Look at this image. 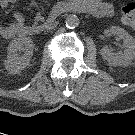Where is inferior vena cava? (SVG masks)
<instances>
[{"label":"inferior vena cava","instance_id":"obj_1","mask_svg":"<svg viewBox=\"0 0 135 135\" xmlns=\"http://www.w3.org/2000/svg\"><path fill=\"white\" fill-rule=\"evenodd\" d=\"M56 25H57L56 22L49 24V25L47 26V30L53 29Z\"/></svg>","mask_w":135,"mask_h":135}]
</instances>
